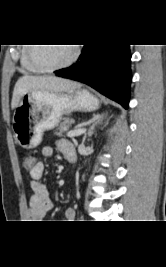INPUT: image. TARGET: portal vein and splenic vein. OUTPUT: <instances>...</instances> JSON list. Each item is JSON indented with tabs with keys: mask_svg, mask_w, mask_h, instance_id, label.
<instances>
[{
	"mask_svg": "<svg viewBox=\"0 0 166 267\" xmlns=\"http://www.w3.org/2000/svg\"><path fill=\"white\" fill-rule=\"evenodd\" d=\"M85 132H86V129L81 128V129H77V130L69 131V132L67 133V136L70 137V138H72V137L80 136V135H82V134L85 133Z\"/></svg>",
	"mask_w": 166,
	"mask_h": 267,
	"instance_id": "1",
	"label": "portal vein and splenic vein"
}]
</instances>
